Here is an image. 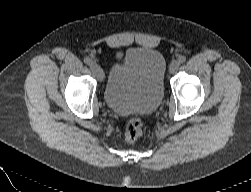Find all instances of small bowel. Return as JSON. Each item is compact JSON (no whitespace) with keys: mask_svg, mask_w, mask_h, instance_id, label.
Listing matches in <instances>:
<instances>
[{"mask_svg":"<svg viewBox=\"0 0 251 192\" xmlns=\"http://www.w3.org/2000/svg\"><path fill=\"white\" fill-rule=\"evenodd\" d=\"M120 56H121V55H120V54H118V55H117V58H120Z\"/></svg>","mask_w":251,"mask_h":192,"instance_id":"c3829d8e","label":"small bowel"}]
</instances>
